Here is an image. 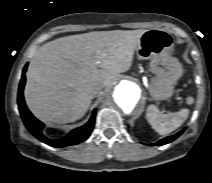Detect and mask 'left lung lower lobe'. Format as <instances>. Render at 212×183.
Masks as SVG:
<instances>
[{"instance_id":"1","label":"left lung lower lobe","mask_w":212,"mask_h":183,"mask_svg":"<svg viewBox=\"0 0 212 183\" xmlns=\"http://www.w3.org/2000/svg\"><path fill=\"white\" fill-rule=\"evenodd\" d=\"M184 130L180 131L179 133H177V134H175L173 136L166 137V138H164V139L160 140L159 142H157L155 144H152V145L161 146V145L170 143V142L174 141L176 138H178L184 132Z\"/></svg>"}]
</instances>
